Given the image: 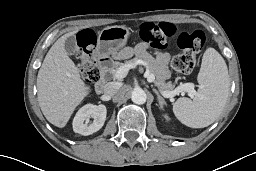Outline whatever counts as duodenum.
Wrapping results in <instances>:
<instances>
[{
	"label": "duodenum",
	"instance_id": "obj_1",
	"mask_svg": "<svg viewBox=\"0 0 256 171\" xmlns=\"http://www.w3.org/2000/svg\"><path fill=\"white\" fill-rule=\"evenodd\" d=\"M97 65L100 69V79L95 85V91L101 93L105 87V74L112 67V60L108 57H101L97 60Z\"/></svg>",
	"mask_w": 256,
	"mask_h": 171
}]
</instances>
